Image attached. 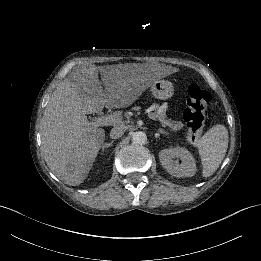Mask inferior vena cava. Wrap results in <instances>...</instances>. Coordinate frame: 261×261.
Returning <instances> with one entry per match:
<instances>
[{"label":"inferior vena cava","mask_w":261,"mask_h":261,"mask_svg":"<svg viewBox=\"0 0 261 261\" xmlns=\"http://www.w3.org/2000/svg\"><path fill=\"white\" fill-rule=\"evenodd\" d=\"M124 132H125V126L117 125L111 129L110 137L112 139H117V138L121 137L124 134Z\"/></svg>","instance_id":"602c4592"}]
</instances>
